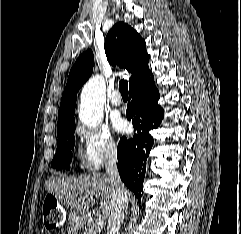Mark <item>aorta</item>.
<instances>
[{
    "label": "aorta",
    "mask_w": 241,
    "mask_h": 234,
    "mask_svg": "<svg viewBox=\"0 0 241 234\" xmlns=\"http://www.w3.org/2000/svg\"><path fill=\"white\" fill-rule=\"evenodd\" d=\"M105 91V81L100 75L93 76L84 85L79 110V119L84 125L95 128L101 123Z\"/></svg>",
    "instance_id": "762f6f07"
}]
</instances>
